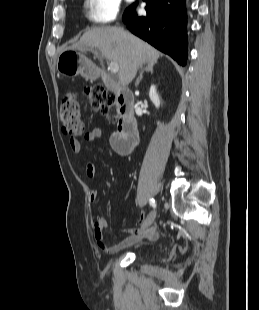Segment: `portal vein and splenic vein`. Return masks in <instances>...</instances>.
<instances>
[{"label": "portal vein and splenic vein", "instance_id": "obj_1", "mask_svg": "<svg viewBox=\"0 0 259 310\" xmlns=\"http://www.w3.org/2000/svg\"><path fill=\"white\" fill-rule=\"evenodd\" d=\"M108 69L112 72V73H117L119 71V66L116 62H110L109 63V67Z\"/></svg>", "mask_w": 259, "mask_h": 310}]
</instances>
